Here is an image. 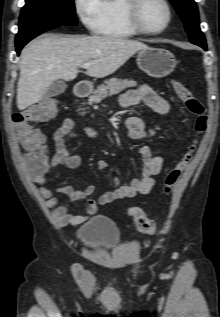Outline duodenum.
<instances>
[{
  "label": "duodenum",
  "mask_w": 220,
  "mask_h": 317,
  "mask_svg": "<svg viewBox=\"0 0 220 317\" xmlns=\"http://www.w3.org/2000/svg\"><path fill=\"white\" fill-rule=\"evenodd\" d=\"M91 88L88 84L86 83H78L75 88H74V94L78 98L86 97Z\"/></svg>",
  "instance_id": "obj_1"
}]
</instances>
